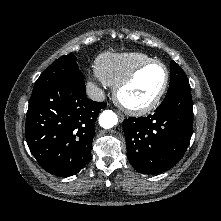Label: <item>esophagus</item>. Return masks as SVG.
I'll list each match as a JSON object with an SVG mask.
<instances>
[{
  "label": "esophagus",
  "mask_w": 221,
  "mask_h": 221,
  "mask_svg": "<svg viewBox=\"0 0 221 221\" xmlns=\"http://www.w3.org/2000/svg\"><path fill=\"white\" fill-rule=\"evenodd\" d=\"M118 117L121 122L124 120V116L122 114H118Z\"/></svg>",
  "instance_id": "34e87169"
}]
</instances>
